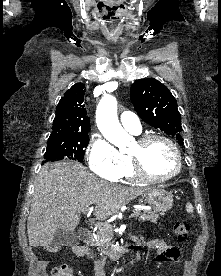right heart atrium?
<instances>
[{"label":"right heart atrium","mask_w":221,"mask_h":276,"mask_svg":"<svg viewBox=\"0 0 221 276\" xmlns=\"http://www.w3.org/2000/svg\"><path fill=\"white\" fill-rule=\"evenodd\" d=\"M90 169L98 176L110 180H118L124 168V156L106 139L93 137L87 151Z\"/></svg>","instance_id":"right-heart-atrium-1"}]
</instances>
